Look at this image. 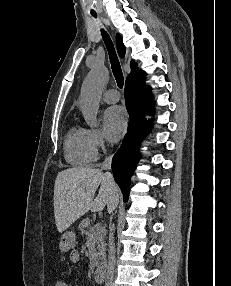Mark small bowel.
Returning a JSON list of instances; mask_svg holds the SVG:
<instances>
[{"mask_svg":"<svg viewBox=\"0 0 231 286\" xmlns=\"http://www.w3.org/2000/svg\"><path fill=\"white\" fill-rule=\"evenodd\" d=\"M70 260L72 263H77L80 260V255L78 253V251H72L70 253Z\"/></svg>","mask_w":231,"mask_h":286,"instance_id":"1","label":"small bowel"}]
</instances>
